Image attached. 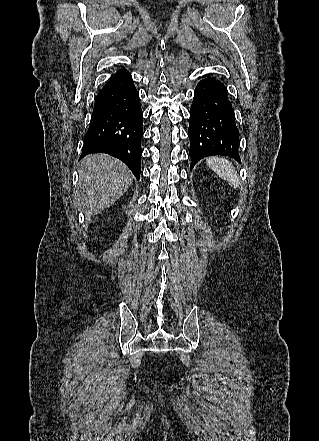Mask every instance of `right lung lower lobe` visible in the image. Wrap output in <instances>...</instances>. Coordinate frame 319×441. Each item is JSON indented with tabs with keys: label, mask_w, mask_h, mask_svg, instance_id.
I'll use <instances>...</instances> for the list:
<instances>
[{
	"label": "right lung lower lobe",
	"mask_w": 319,
	"mask_h": 441,
	"mask_svg": "<svg viewBox=\"0 0 319 441\" xmlns=\"http://www.w3.org/2000/svg\"><path fill=\"white\" fill-rule=\"evenodd\" d=\"M143 113L132 76L118 70L95 97L81 158L107 153L123 161L137 179L141 172Z\"/></svg>",
	"instance_id": "right-lung-lower-lobe-1"
}]
</instances>
